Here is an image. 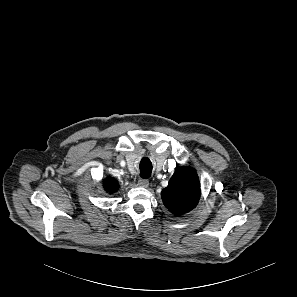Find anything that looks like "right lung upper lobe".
Wrapping results in <instances>:
<instances>
[{
	"instance_id": "right-lung-upper-lobe-1",
	"label": "right lung upper lobe",
	"mask_w": 297,
	"mask_h": 297,
	"mask_svg": "<svg viewBox=\"0 0 297 297\" xmlns=\"http://www.w3.org/2000/svg\"><path fill=\"white\" fill-rule=\"evenodd\" d=\"M119 187L117 180L109 177L104 181V188L109 193H114Z\"/></svg>"
}]
</instances>
